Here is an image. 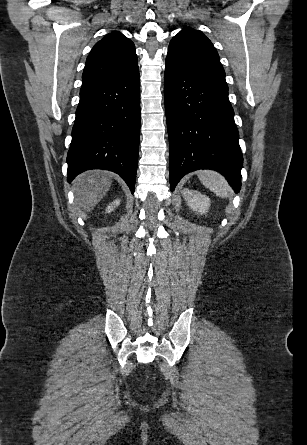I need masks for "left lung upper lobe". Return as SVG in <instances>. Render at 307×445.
I'll return each mask as SVG.
<instances>
[{
	"label": "left lung upper lobe",
	"instance_id": "left-lung-upper-lobe-1",
	"mask_svg": "<svg viewBox=\"0 0 307 445\" xmlns=\"http://www.w3.org/2000/svg\"><path fill=\"white\" fill-rule=\"evenodd\" d=\"M167 58L200 79L228 89L219 55L202 32L188 27L182 29L172 38Z\"/></svg>",
	"mask_w": 307,
	"mask_h": 445
}]
</instances>
